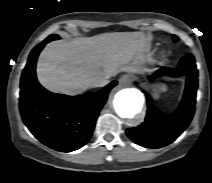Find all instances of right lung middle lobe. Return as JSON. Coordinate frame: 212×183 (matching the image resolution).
<instances>
[{
    "mask_svg": "<svg viewBox=\"0 0 212 183\" xmlns=\"http://www.w3.org/2000/svg\"><path fill=\"white\" fill-rule=\"evenodd\" d=\"M49 38H51V41L59 39L58 35H51V36H49Z\"/></svg>",
    "mask_w": 212,
    "mask_h": 183,
    "instance_id": "dd1d6c3e",
    "label": "right lung middle lobe"
}]
</instances>
